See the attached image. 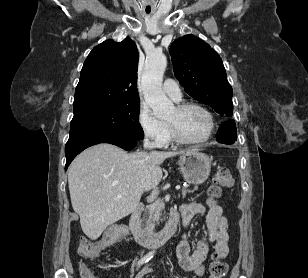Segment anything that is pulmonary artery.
<instances>
[{"label":"pulmonary artery","mask_w":308,"mask_h":278,"mask_svg":"<svg viewBox=\"0 0 308 278\" xmlns=\"http://www.w3.org/2000/svg\"><path fill=\"white\" fill-rule=\"evenodd\" d=\"M163 91L174 101H179L182 97L178 84L172 79H167L164 81Z\"/></svg>","instance_id":"e3ab8cb5"}]
</instances>
